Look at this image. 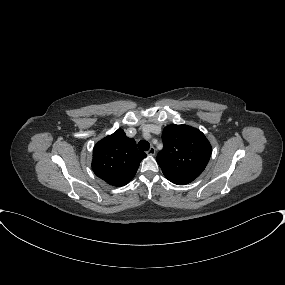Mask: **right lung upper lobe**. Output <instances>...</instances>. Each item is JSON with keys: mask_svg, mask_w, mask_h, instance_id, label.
Wrapping results in <instances>:
<instances>
[{"mask_svg": "<svg viewBox=\"0 0 285 285\" xmlns=\"http://www.w3.org/2000/svg\"><path fill=\"white\" fill-rule=\"evenodd\" d=\"M146 153L122 129L100 140L93 149L94 173L112 186H124L135 176Z\"/></svg>", "mask_w": 285, "mask_h": 285, "instance_id": "obj_1", "label": "right lung upper lobe"}]
</instances>
